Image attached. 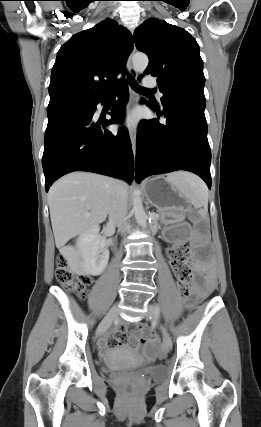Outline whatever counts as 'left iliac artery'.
I'll use <instances>...</instances> for the list:
<instances>
[{"label":"left iliac artery","instance_id":"left-iliac-artery-1","mask_svg":"<svg viewBox=\"0 0 261 427\" xmlns=\"http://www.w3.org/2000/svg\"><path fill=\"white\" fill-rule=\"evenodd\" d=\"M155 312L158 316H160V309L158 306H155Z\"/></svg>","mask_w":261,"mask_h":427}]
</instances>
